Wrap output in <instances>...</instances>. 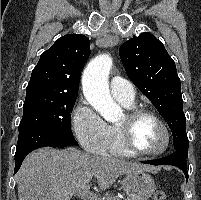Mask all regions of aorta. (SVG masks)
<instances>
[{"instance_id": "aorta-1", "label": "aorta", "mask_w": 201, "mask_h": 200, "mask_svg": "<svg viewBox=\"0 0 201 200\" xmlns=\"http://www.w3.org/2000/svg\"><path fill=\"white\" fill-rule=\"evenodd\" d=\"M113 61L109 54H101L90 61L83 72V93L91 106L106 121H115L120 108L113 101L108 87V76Z\"/></svg>"}]
</instances>
